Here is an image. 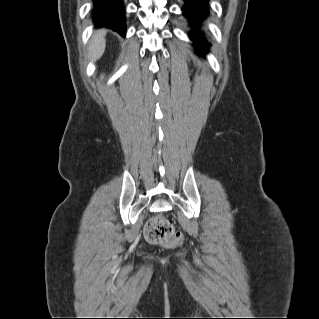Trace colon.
<instances>
[{
	"instance_id": "5ec220e1",
	"label": "colon",
	"mask_w": 319,
	"mask_h": 319,
	"mask_svg": "<svg viewBox=\"0 0 319 319\" xmlns=\"http://www.w3.org/2000/svg\"><path fill=\"white\" fill-rule=\"evenodd\" d=\"M145 236L152 243L169 246H180L183 243L182 233L176 232L172 223L161 216H155L146 223Z\"/></svg>"
}]
</instances>
